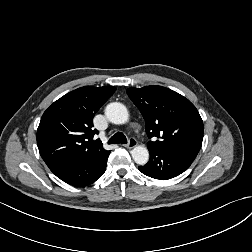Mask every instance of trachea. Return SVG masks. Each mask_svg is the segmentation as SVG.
<instances>
[{
  "mask_svg": "<svg viewBox=\"0 0 252 252\" xmlns=\"http://www.w3.org/2000/svg\"><path fill=\"white\" fill-rule=\"evenodd\" d=\"M117 143H121V144L127 143V139L125 135L121 132L115 133L108 141V144H117Z\"/></svg>",
  "mask_w": 252,
  "mask_h": 252,
  "instance_id": "3493384b",
  "label": "trachea"
}]
</instances>
